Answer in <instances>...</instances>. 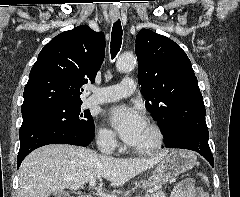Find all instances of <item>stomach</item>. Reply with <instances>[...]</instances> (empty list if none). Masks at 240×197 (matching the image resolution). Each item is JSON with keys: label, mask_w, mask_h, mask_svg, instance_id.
Instances as JSON below:
<instances>
[{"label": "stomach", "mask_w": 240, "mask_h": 197, "mask_svg": "<svg viewBox=\"0 0 240 197\" xmlns=\"http://www.w3.org/2000/svg\"><path fill=\"white\" fill-rule=\"evenodd\" d=\"M197 164V157L191 151L173 150L168 153L153 174L142 182L143 188L163 184L177 175L191 170Z\"/></svg>", "instance_id": "obj_1"}]
</instances>
